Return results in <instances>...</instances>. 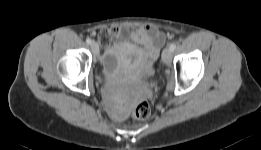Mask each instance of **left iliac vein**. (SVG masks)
Here are the masks:
<instances>
[{
    "instance_id": "left-iliac-vein-1",
    "label": "left iliac vein",
    "mask_w": 261,
    "mask_h": 150,
    "mask_svg": "<svg viewBox=\"0 0 261 150\" xmlns=\"http://www.w3.org/2000/svg\"><path fill=\"white\" fill-rule=\"evenodd\" d=\"M162 60L166 65H170L172 60V51L170 48H165L162 52Z\"/></svg>"
}]
</instances>
